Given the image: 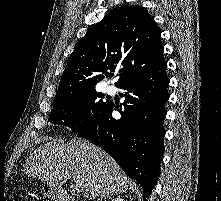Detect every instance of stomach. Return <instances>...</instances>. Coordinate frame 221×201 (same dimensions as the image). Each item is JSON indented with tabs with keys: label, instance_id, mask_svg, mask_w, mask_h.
<instances>
[{
	"label": "stomach",
	"instance_id": "1",
	"mask_svg": "<svg viewBox=\"0 0 221 201\" xmlns=\"http://www.w3.org/2000/svg\"><path fill=\"white\" fill-rule=\"evenodd\" d=\"M43 190H44L45 194L51 198L58 197V194L52 189V186H50L48 184L43 186Z\"/></svg>",
	"mask_w": 221,
	"mask_h": 201
}]
</instances>
